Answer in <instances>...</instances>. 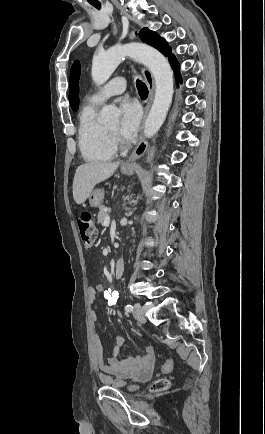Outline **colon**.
Segmentation results:
<instances>
[{
  "mask_svg": "<svg viewBox=\"0 0 265 434\" xmlns=\"http://www.w3.org/2000/svg\"><path fill=\"white\" fill-rule=\"evenodd\" d=\"M76 222L82 245L85 249H91L95 245L97 238V229L95 226L94 218L90 213H83L77 215ZM174 361L172 359L167 360L159 369L158 375L168 374L172 371ZM169 387V382L164 379H156L152 383L151 388L155 392H163Z\"/></svg>",
  "mask_w": 265,
  "mask_h": 434,
  "instance_id": "colon-1",
  "label": "colon"
}]
</instances>
